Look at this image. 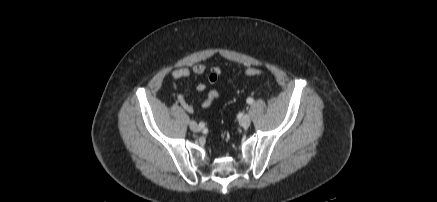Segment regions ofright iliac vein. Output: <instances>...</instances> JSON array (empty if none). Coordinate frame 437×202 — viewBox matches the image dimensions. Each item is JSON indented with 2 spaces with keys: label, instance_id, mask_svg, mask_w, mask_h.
I'll return each instance as SVG.
<instances>
[{
  "label": "right iliac vein",
  "instance_id": "right-iliac-vein-1",
  "mask_svg": "<svg viewBox=\"0 0 437 202\" xmlns=\"http://www.w3.org/2000/svg\"><path fill=\"white\" fill-rule=\"evenodd\" d=\"M189 126L193 132H200L202 129L195 121H191Z\"/></svg>",
  "mask_w": 437,
  "mask_h": 202
}]
</instances>
